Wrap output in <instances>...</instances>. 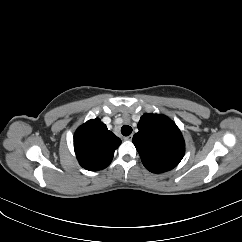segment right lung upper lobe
Masks as SVG:
<instances>
[{
    "instance_id": "obj_1",
    "label": "right lung upper lobe",
    "mask_w": 242,
    "mask_h": 242,
    "mask_svg": "<svg viewBox=\"0 0 242 242\" xmlns=\"http://www.w3.org/2000/svg\"><path fill=\"white\" fill-rule=\"evenodd\" d=\"M121 139L96 118L80 126L74 134V150L80 165L89 171L106 168Z\"/></svg>"
}]
</instances>
